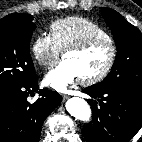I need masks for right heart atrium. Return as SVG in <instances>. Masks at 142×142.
Returning <instances> with one entry per match:
<instances>
[{"label":"right heart atrium","instance_id":"obj_1","mask_svg":"<svg viewBox=\"0 0 142 142\" xmlns=\"http://www.w3.org/2000/svg\"><path fill=\"white\" fill-rule=\"evenodd\" d=\"M31 52L35 61L43 67L53 66L60 57L61 51L50 35H37L31 44Z\"/></svg>","mask_w":142,"mask_h":142}]
</instances>
